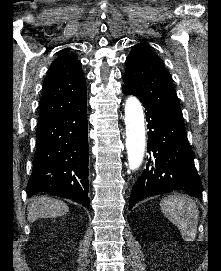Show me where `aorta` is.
Segmentation results:
<instances>
[{"label": "aorta", "mask_w": 221, "mask_h": 271, "mask_svg": "<svg viewBox=\"0 0 221 271\" xmlns=\"http://www.w3.org/2000/svg\"><path fill=\"white\" fill-rule=\"evenodd\" d=\"M126 149L130 170L142 164L145 152L144 114L140 101L130 96L125 102Z\"/></svg>", "instance_id": "aorta-1"}]
</instances>
